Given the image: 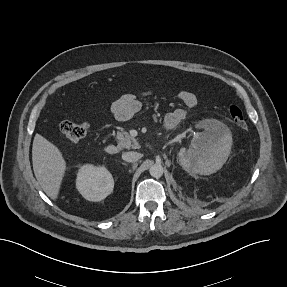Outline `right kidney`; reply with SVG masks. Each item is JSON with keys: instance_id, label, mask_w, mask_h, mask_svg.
I'll list each match as a JSON object with an SVG mask.
<instances>
[{"instance_id": "1", "label": "right kidney", "mask_w": 287, "mask_h": 287, "mask_svg": "<svg viewBox=\"0 0 287 287\" xmlns=\"http://www.w3.org/2000/svg\"><path fill=\"white\" fill-rule=\"evenodd\" d=\"M76 188L86 200L101 201L113 191L114 180L103 166L83 165L77 174Z\"/></svg>"}]
</instances>
